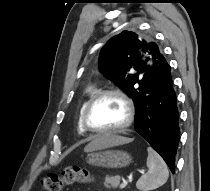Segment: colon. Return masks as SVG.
Segmentation results:
<instances>
[{
    "label": "colon",
    "mask_w": 210,
    "mask_h": 191,
    "mask_svg": "<svg viewBox=\"0 0 210 191\" xmlns=\"http://www.w3.org/2000/svg\"><path fill=\"white\" fill-rule=\"evenodd\" d=\"M92 176L87 168L81 166L66 167L61 174H49L41 181L43 191H61L65 185L88 183Z\"/></svg>",
    "instance_id": "5ec220e1"
}]
</instances>
